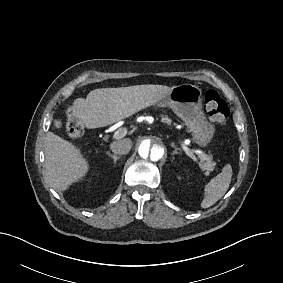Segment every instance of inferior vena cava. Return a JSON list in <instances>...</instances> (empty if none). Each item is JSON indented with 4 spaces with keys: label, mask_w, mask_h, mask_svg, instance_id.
Segmentation results:
<instances>
[{
    "label": "inferior vena cava",
    "mask_w": 283,
    "mask_h": 283,
    "mask_svg": "<svg viewBox=\"0 0 283 283\" xmlns=\"http://www.w3.org/2000/svg\"><path fill=\"white\" fill-rule=\"evenodd\" d=\"M110 148L115 154H128L132 148V141L130 139H123L121 141L112 143Z\"/></svg>",
    "instance_id": "1"
}]
</instances>
